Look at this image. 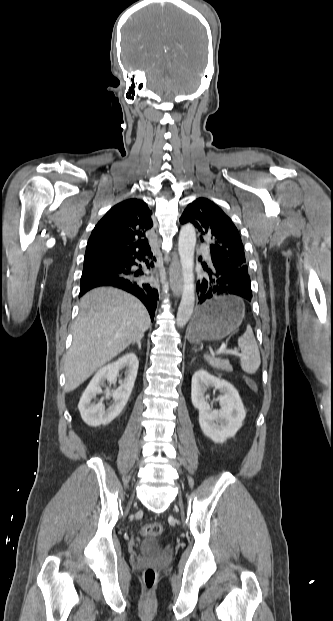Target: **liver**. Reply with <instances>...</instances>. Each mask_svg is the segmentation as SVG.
I'll return each mask as SVG.
<instances>
[{
    "mask_svg": "<svg viewBox=\"0 0 333 621\" xmlns=\"http://www.w3.org/2000/svg\"><path fill=\"white\" fill-rule=\"evenodd\" d=\"M149 326L150 316L134 296L111 287L87 292L80 301L72 345L64 356L65 390L80 386Z\"/></svg>",
    "mask_w": 333,
    "mask_h": 621,
    "instance_id": "obj_1",
    "label": "liver"
}]
</instances>
